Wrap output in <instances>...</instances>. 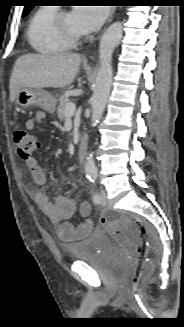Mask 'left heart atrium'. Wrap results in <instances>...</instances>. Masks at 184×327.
Instances as JSON below:
<instances>
[{
    "instance_id": "left-heart-atrium-1",
    "label": "left heart atrium",
    "mask_w": 184,
    "mask_h": 327,
    "mask_svg": "<svg viewBox=\"0 0 184 327\" xmlns=\"http://www.w3.org/2000/svg\"><path fill=\"white\" fill-rule=\"evenodd\" d=\"M72 14L82 33H89L97 30L105 21L107 9L97 5H83L76 7Z\"/></svg>"
}]
</instances>
